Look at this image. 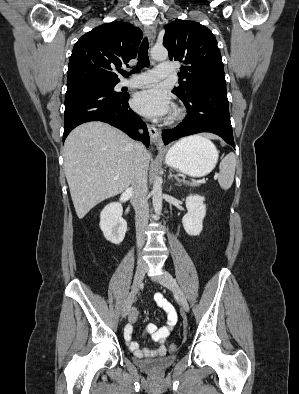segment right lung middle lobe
<instances>
[{"label": "right lung middle lobe", "instance_id": "obj_1", "mask_svg": "<svg viewBox=\"0 0 299 394\" xmlns=\"http://www.w3.org/2000/svg\"><path fill=\"white\" fill-rule=\"evenodd\" d=\"M98 84L115 86V85L117 84V82H111V83H93V84H89V85H98Z\"/></svg>", "mask_w": 299, "mask_h": 394}]
</instances>
